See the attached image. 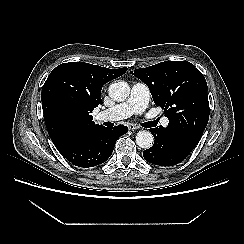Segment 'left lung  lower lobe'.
Segmentation results:
<instances>
[{
    "mask_svg": "<svg viewBox=\"0 0 244 244\" xmlns=\"http://www.w3.org/2000/svg\"><path fill=\"white\" fill-rule=\"evenodd\" d=\"M151 132L155 141L151 148L143 152V157L146 161L159 166H173L182 162L198 143L189 141L162 126L152 128Z\"/></svg>",
    "mask_w": 244,
    "mask_h": 244,
    "instance_id": "1",
    "label": "left lung lower lobe"
}]
</instances>
